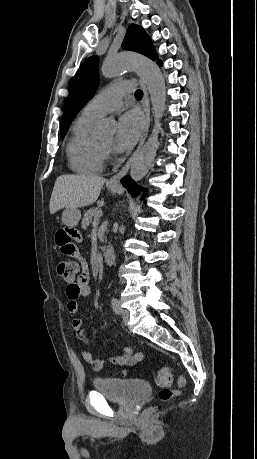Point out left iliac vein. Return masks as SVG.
<instances>
[{
    "mask_svg": "<svg viewBox=\"0 0 257 459\" xmlns=\"http://www.w3.org/2000/svg\"><path fill=\"white\" fill-rule=\"evenodd\" d=\"M121 313H122V320H123V323H124L125 325H127V324H128V321H129V311H128V310H122Z\"/></svg>",
    "mask_w": 257,
    "mask_h": 459,
    "instance_id": "left-iliac-vein-1",
    "label": "left iliac vein"
}]
</instances>
